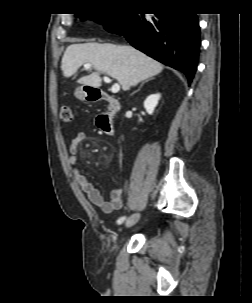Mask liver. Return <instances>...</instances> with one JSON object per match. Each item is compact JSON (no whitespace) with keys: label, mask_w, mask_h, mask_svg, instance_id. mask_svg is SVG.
<instances>
[{"label":"liver","mask_w":252,"mask_h":303,"mask_svg":"<svg viewBox=\"0 0 252 303\" xmlns=\"http://www.w3.org/2000/svg\"><path fill=\"white\" fill-rule=\"evenodd\" d=\"M87 63L93 66L95 72L81 77L78 83L100 87V73H104L117 80L124 91L163 70L161 63L131 46L84 43L67 47L61 62L64 77H71L81 65Z\"/></svg>","instance_id":"obj_1"}]
</instances>
